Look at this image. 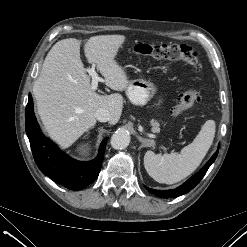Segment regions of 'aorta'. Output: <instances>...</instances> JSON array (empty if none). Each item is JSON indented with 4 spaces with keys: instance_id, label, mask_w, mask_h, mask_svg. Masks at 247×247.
Instances as JSON below:
<instances>
[{
    "instance_id": "1",
    "label": "aorta",
    "mask_w": 247,
    "mask_h": 247,
    "mask_svg": "<svg viewBox=\"0 0 247 247\" xmlns=\"http://www.w3.org/2000/svg\"><path fill=\"white\" fill-rule=\"evenodd\" d=\"M112 148L116 150L125 149L130 143V135L125 130L116 131L110 140Z\"/></svg>"
}]
</instances>
